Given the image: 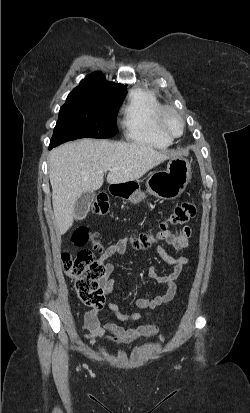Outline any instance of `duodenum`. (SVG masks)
I'll return each mask as SVG.
<instances>
[{
  "label": "duodenum",
  "mask_w": 250,
  "mask_h": 413,
  "mask_svg": "<svg viewBox=\"0 0 250 413\" xmlns=\"http://www.w3.org/2000/svg\"><path fill=\"white\" fill-rule=\"evenodd\" d=\"M119 190H120V186L117 185V186H115V187L112 189V193H113L114 195H118Z\"/></svg>",
  "instance_id": "duodenum-1"
}]
</instances>
